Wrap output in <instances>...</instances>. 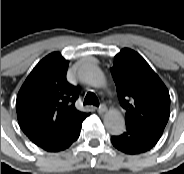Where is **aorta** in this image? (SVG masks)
Masks as SVG:
<instances>
[{"label":"aorta","mask_w":184,"mask_h":174,"mask_svg":"<svg viewBox=\"0 0 184 174\" xmlns=\"http://www.w3.org/2000/svg\"><path fill=\"white\" fill-rule=\"evenodd\" d=\"M86 77L88 83L94 87H102L105 85V76L96 66H91L88 69ZM104 125L111 134L118 135L125 129V120L120 111L111 109L104 115Z\"/></svg>","instance_id":"762f6f07"}]
</instances>
